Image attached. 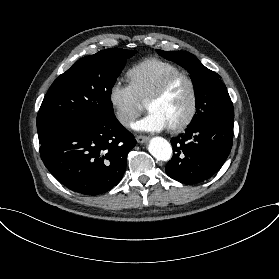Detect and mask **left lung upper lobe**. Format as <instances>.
<instances>
[{
  "mask_svg": "<svg viewBox=\"0 0 279 279\" xmlns=\"http://www.w3.org/2000/svg\"><path fill=\"white\" fill-rule=\"evenodd\" d=\"M164 58L176 62L191 74L196 98V114L189 126L203 120L234 121L233 104L220 76L206 68L186 51L156 50Z\"/></svg>",
  "mask_w": 279,
  "mask_h": 279,
  "instance_id": "obj_1",
  "label": "left lung upper lobe"
}]
</instances>
